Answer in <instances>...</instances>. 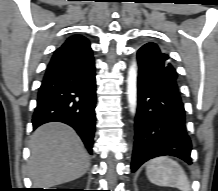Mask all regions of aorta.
Here are the masks:
<instances>
[{"label": "aorta", "mask_w": 218, "mask_h": 191, "mask_svg": "<svg viewBox=\"0 0 218 191\" xmlns=\"http://www.w3.org/2000/svg\"><path fill=\"white\" fill-rule=\"evenodd\" d=\"M127 99L130 112L134 115L137 107V64L133 62L127 76Z\"/></svg>", "instance_id": "aorta-1"}]
</instances>
